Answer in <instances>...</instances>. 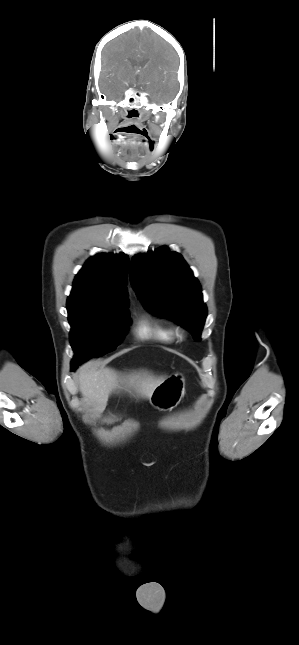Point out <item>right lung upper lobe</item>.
I'll use <instances>...</instances> for the list:
<instances>
[{
    "instance_id": "cb5924a9",
    "label": "right lung upper lobe",
    "mask_w": 299,
    "mask_h": 645,
    "mask_svg": "<svg viewBox=\"0 0 299 645\" xmlns=\"http://www.w3.org/2000/svg\"><path fill=\"white\" fill-rule=\"evenodd\" d=\"M128 262V256L122 254L91 257L74 279L67 306L127 307Z\"/></svg>"
}]
</instances>
